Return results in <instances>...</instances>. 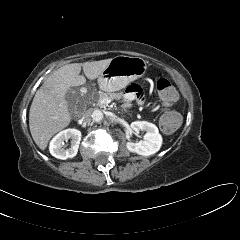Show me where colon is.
Instances as JSON below:
<instances>
[{
	"instance_id": "1",
	"label": "colon",
	"mask_w": 240,
	"mask_h": 240,
	"mask_svg": "<svg viewBox=\"0 0 240 240\" xmlns=\"http://www.w3.org/2000/svg\"><path fill=\"white\" fill-rule=\"evenodd\" d=\"M156 89L159 99L164 104L160 117V127L166 133L175 131L181 122L180 115L171 107L178 98L175 87L166 78L157 80Z\"/></svg>"
}]
</instances>
